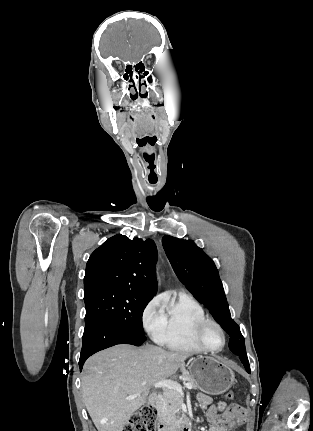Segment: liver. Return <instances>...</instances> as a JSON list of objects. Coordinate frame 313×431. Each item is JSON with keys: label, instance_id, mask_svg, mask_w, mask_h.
<instances>
[{"label": "liver", "instance_id": "obj_1", "mask_svg": "<svg viewBox=\"0 0 313 431\" xmlns=\"http://www.w3.org/2000/svg\"><path fill=\"white\" fill-rule=\"evenodd\" d=\"M190 354L119 344L91 356L83 367L82 397L98 431H122L146 402L151 386L183 367ZM140 393L134 399H127Z\"/></svg>", "mask_w": 313, "mask_h": 431}]
</instances>
